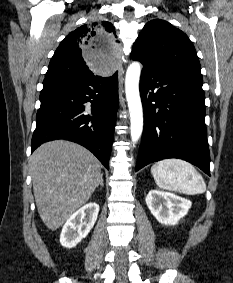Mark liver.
Returning <instances> with one entry per match:
<instances>
[{
  "label": "liver",
  "mask_w": 233,
  "mask_h": 283,
  "mask_svg": "<svg viewBox=\"0 0 233 283\" xmlns=\"http://www.w3.org/2000/svg\"><path fill=\"white\" fill-rule=\"evenodd\" d=\"M38 213L57 230L91 197L101 178V164L83 146L66 140L42 144L30 158Z\"/></svg>",
  "instance_id": "liver-1"
}]
</instances>
